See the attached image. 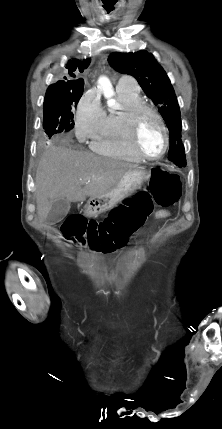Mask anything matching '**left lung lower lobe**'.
Returning a JSON list of instances; mask_svg holds the SVG:
<instances>
[{
    "mask_svg": "<svg viewBox=\"0 0 222 429\" xmlns=\"http://www.w3.org/2000/svg\"><path fill=\"white\" fill-rule=\"evenodd\" d=\"M177 166H179V167H185L186 166V164L185 165H178V164H176Z\"/></svg>",
    "mask_w": 222,
    "mask_h": 429,
    "instance_id": "1",
    "label": "left lung lower lobe"
}]
</instances>
